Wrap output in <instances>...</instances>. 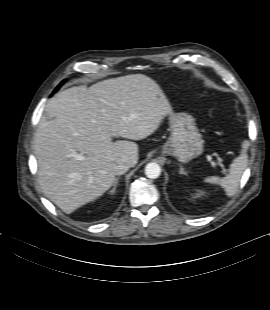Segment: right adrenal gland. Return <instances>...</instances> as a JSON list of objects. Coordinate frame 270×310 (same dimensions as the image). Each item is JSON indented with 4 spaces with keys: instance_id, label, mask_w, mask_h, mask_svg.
<instances>
[{
    "instance_id": "obj_1",
    "label": "right adrenal gland",
    "mask_w": 270,
    "mask_h": 310,
    "mask_svg": "<svg viewBox=\"0 0 270 310\" xmlns=\"http://www.w3.org/2000/svg\"><path fill=\"white\" fill-rule=\"evenodd\" d=\"M119 177H117L116 179H115V182H114V185H113V188L111 189V191H110V193L109 194H114L115 193V191H116V188H117V185H118V182H119Z\"/></svg>"
}]
</instances>
